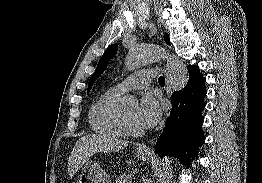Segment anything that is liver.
I'll use <instances>...</instances> for the list:
<instances>
[{"label": "liver", "instance_id": "liver-1", "mask_svg": "<svg viewBox=\"0 0 262 183\" xmlns=\"http://www.w3.org/2000/svg\"><path fill=\"white\" fill-rule=\"evenodd\" d=\"M128 146L125 140L104 134L81 137L75 144L68 159V173L72 177L97 152H117Z\"/></svg>", "mask_w": 262, "mask_h": 183}]
</instances>
